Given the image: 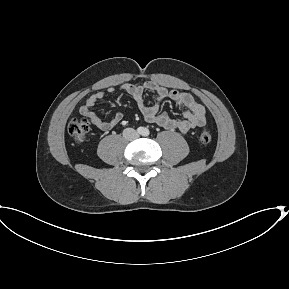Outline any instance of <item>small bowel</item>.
I'll return each mask as SVG.
<instances>
[{
    "label": "small bowel",
    "mask_w": 289,
    "mask_h": 289,
    "mask_svg": "<svg viewBox=\"0 0 289 289\" xmlns=\"http://www.w3.org/2000/svg\"><path fill=\"white\" fill-rule=\"evenodd\" d=\"M121 90L129 94L136 102L144 119L149 123H154L168 130H178L182 134L190 130L202 127L206 124V108L198 103L192 95L187 92L176 89H167L154 82H145L142 85L124 84ZM114 88L110 87L106 91H97L90 95L85 103L80 107V113L87 118L97 128L107 131L118 125L123 120V114L117 112L110 120H104L92 111V107L106 93H113ZM145 92H151L155 95L156 100L149 105L145 100ZM170 99L175 102L183 111L182 119H175L167 112H159L160 104L163 100Z\"/></svg>",
    "instance_id": "1"
}]
</instances>
